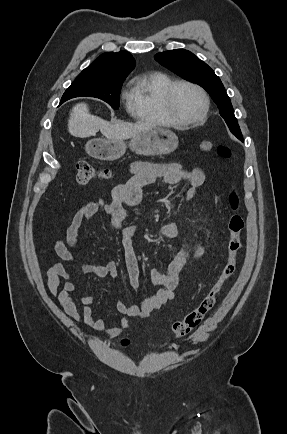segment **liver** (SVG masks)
Returning a JSON list of instances; mask_svg holds the SVG:
<instances>
[{
    "label": "liver",
    "instance_id": "6515ba94",
    "mask_svg": "<svg viewBox=\"0 0 287 434\" xmlns=\"http://www.w3.org/2000/svg\"><path fill=\"white\" fill-rule=\"evenodd\" d=\"M152 127V125L144 122L111 124L100 117L91 115L85 103L75 105L68 120L69 133L79 138L95 136L98 131H101L107 139L124 140Z\"/></svg>",
    "mask_w": 287,
    "mask_h": 434
}]
</instances>
